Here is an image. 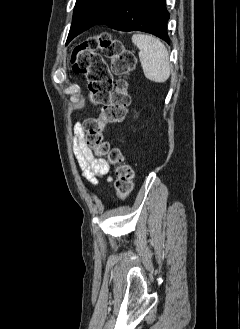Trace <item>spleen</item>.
I'll list each match as a JSON object with an SVG mask.
<instances>
[{"label":"spleen","instance_id":"spleen-1","mask_svg":"<svg viewBox=\"0 0 240 329\" xmlns=\"http://www.w3.org/2000/svg\"><path fill=\"white\" fill-rule=\"evenodd\" d=\"M132 42L139 49V59L145 77L156 83L167 81L171 65L165 45L159 39L146 34H134Z\"/></svg>","mask_w":240,"mask_h":329}]
</instances>
